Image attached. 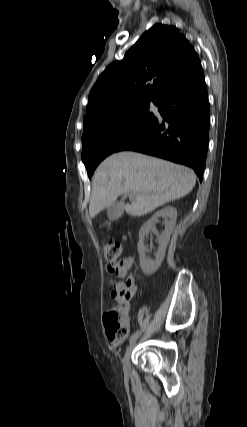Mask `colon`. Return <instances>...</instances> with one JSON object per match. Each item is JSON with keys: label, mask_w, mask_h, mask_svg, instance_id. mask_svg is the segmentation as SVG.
<instances>
[{"label": "colon", "mask_w": 247, "mask_h": 427, "mask_svg": "<svg viewBox=\"0 0 247 427\" xmlns=\"http://www.w3.org/2000/svg\"><path fill=\"white\" fill-rule=\"evenodd\" d=\"M123 246L118 241H110L101 247L103 257L109 263H116L122 254ZM104 325L108 339L116 344H122L130 332L128 312L124 304H119L104 314Z\"/></svg>", "instance_id": "1"}]
</instances>
